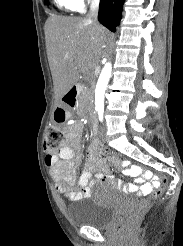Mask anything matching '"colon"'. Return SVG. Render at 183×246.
Segmentation results:
<instances>
[{
	"instance_id": "colon-1",
	"label": "colon",
	"mask_w": 183,
	"mask_h": 246,
	"mask_svg": "<svg viewBox=\"0 0 183 246\" xmlns=\"http://www.w3.org/2000/svg\"><path fill=\"white\" fill-rule=\"evenodd\" d=\"M65 119H66V111L62 108H57L55 112L56 122H64ZM63 141H64V134L57 126L51 125L46 129L44 147L48 154H55L60 149ZM103 153L109 154L110 157H117L118 155L117 152H114L113 149H104ZM133 166L141 167L142 163L134 162ZM154 174H159V171L155 170ZM166 182H169V177H160V182H157L156 189L152 193V198H157L162 194ZM62 187L66 188L67 184L62 183ZM148 203H149L148 199L142 200L139 203L138 207L133 212L124 215L122 219L123 225L131 226L132 224H134L135 221L140 216V214L142 213V211L147 207Z\"/></svg>"
}]
</instances>
